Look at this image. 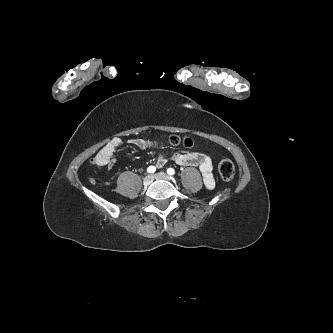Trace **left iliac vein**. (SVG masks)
I'll return each mask as SVG.
<instances>
[{"label": "left iliac vein", "mask_w": 333, "mask_h": 333, "mask_svg": "<svg viewBox=\"0 0 333 333\" xmlns=\"http://www.w3.org/2000/svg\"><path fill=\"white\" fill-rule=\"evenodd\" d=\"M154 177L156 179H162V180H168V181H170L172 179L171 176L167 175L164 172H159V173L155 174Z\"/></svg>", "instance_id": "left-iliac-vein-1"}]
</instances>
